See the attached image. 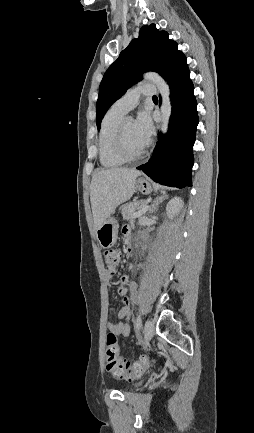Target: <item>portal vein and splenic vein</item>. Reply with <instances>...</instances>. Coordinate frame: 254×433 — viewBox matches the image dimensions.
I'll use <instances>...</instances> for the list:
<instances>
[{"label": "portal vein and splenic vein", "instance_id": "portal-vein-and-splenic-vein-1", "mask_svg": "<svg viewBox=\"0 0 254 433\" xmlns=\"http://www.w3.org/2000/svg\"><path fill=\"white\" fill-rule=\"evenodd\" d=\"M148 207L149 206H143L139 211H137L133 214V218H136V217H139V216H142L143 214H145Z\"/></svg>", "mask_w": 254, "mask_h": 433}]
</instances>
